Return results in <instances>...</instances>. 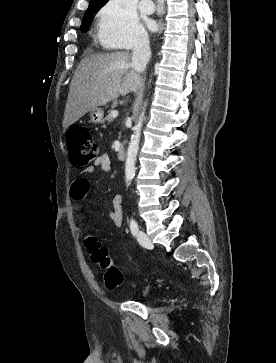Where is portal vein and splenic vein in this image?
Here are the masks:
<instances>
[{
	"label": "portal vein and splenic vein",
	"instance_id": "18ae733b",
	"mask_svg": "<svg viewBox=\"0 0 276 363\" xmlns=\"http://www.w3.org/2000/svg\"><path fill=\"white\" fill-rule=\"evenodd\" d=\"M111 115H112L113 118L118 117V111H116V110L115 111H112L111 112Z\"/></svg>",
	"mask_w": 276,
	"mask_h": 363
}]
</instances>
